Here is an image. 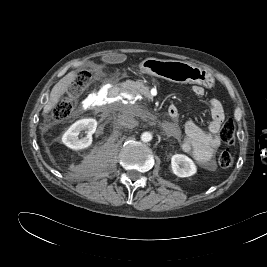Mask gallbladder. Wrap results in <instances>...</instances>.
Returning <instances> with one entry per match:
<instances>
[{
	"mask_svg": "<svg viewBox=\"0 0 267 267\" xmlns=\"http://www.w3.org/2000/svg\"><path fill=\"white\" fill-rule=\"evenodd\" d=\"M118 59H119V57H117ZM106 60H108V59H106ZM110 60H112V59H110ZM113 60H116V59H113ZM94 65L92 64V63H89L88 64V67H93Z\"/></svg>",
	"mask_w": 267,
	"mask_h": 267,
	"instance_id": "gallbladder-1",
	"label": "gallbladder"
}]
</instances>
